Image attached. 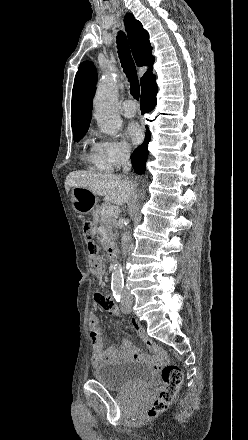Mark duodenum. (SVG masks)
Returning <instances> with one entry per match:
<instances>
[{
  "label": "duodenum",
  "instance_id": "410a0bca",
  "mask_svg": "<svg viewBox=\"0 0 248 440\" xmlns=\"http://www.w3.org/2000/svg\"><path fill=\"white\" fill-rule=\"evenodd\" d=\"M107 253H108L109 259L113 260L116 256V253H117L116 246L113 244L109 245L107 248Z\"/></svg>",
  "mask_w": 248,
  "mask_h": 440
}]
</instances>
